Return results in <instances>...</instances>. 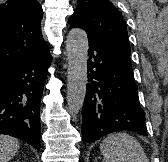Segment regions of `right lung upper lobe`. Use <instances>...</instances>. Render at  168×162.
<instances>
[{"instance_id":"1","label":"right lung upper lobe","mask_w":168,"mask_h":162,"mask_svg":"<svg viewBox=\"0 0 168 162\" xmlns=\"http://www.w3.org/2000/svg\"><path fill=\"white\" fill-rule=\"evenodd\" d=\"M37 0H7L0 6V72L49 52L42 38Z\"/></svg>"}]
</instances>
